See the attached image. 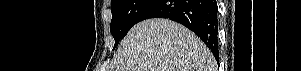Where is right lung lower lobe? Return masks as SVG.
Wrapping results in <instances>:
<instances>
[{
    "label": "right lung lower lobe",
    "mask_w": 301,
    "mask_h": 71,
    "mask_svg": "<svg viewBox=\"0 0 301 71\" xmlns=\"http://www.w3.org/2000/svg\"><path fill=\"white\" fill-rule=\"evenodd\" d=\"M217 15L216 0H155L140 21L160 17L181 23L200 37L219 61Z\"/></svg>",
    "instance_id": "right-lung-lower-lobe-1"
}]
</instances>
